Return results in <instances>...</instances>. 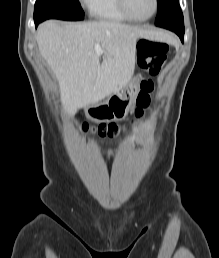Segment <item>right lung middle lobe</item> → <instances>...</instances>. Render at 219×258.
<instances>
[{
  "label": "right lung middle lobe",
  "instance_id": "right-lung-middle-lobe-1",
  "mask_svg": "<svg viewBox=\"0 0 219 258\" xmlns=\"http://www.w3.org/2000/svg\"><path fill=\"white\" fill-rule=\"evenodd\" d=\"M84 17V12L78 0H36L34 7V22L46 19H69Z\"/></svg>",
  "mask_w": 219,
  "mask_h": 258
}]
</instances>
